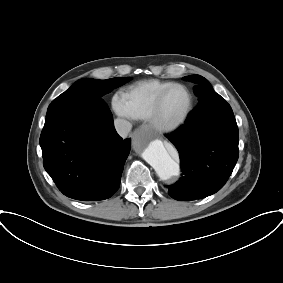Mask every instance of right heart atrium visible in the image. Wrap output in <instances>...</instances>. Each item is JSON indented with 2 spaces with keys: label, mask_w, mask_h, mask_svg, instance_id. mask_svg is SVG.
Returning a JSON list of instances; mask_svg holds the SVG:
<instances>
[{
  "label": "right heart atrium",
  "mask_w": 283,
  "mask_h": 283,
  "mask_svg": "<svg viewBox=\"0 0 283 283\" xmlns=\"http://www.w3.org/2000/svg\"><path fill=\"white\" fill-rule=\"evenodd\" d=\"M112 104L113 109L118 116L123 118H131L121 97L115 96Z\"/></svg>",
  "instance_id": "d8ad5b80"
}]
</instances>
